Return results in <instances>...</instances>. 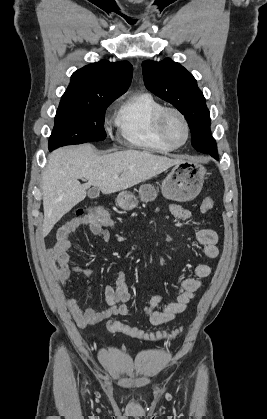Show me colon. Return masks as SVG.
<instances>
[{"label":"colon","mask_w":267,"mask_h":419,"mask_svg":"<svg viewBox=\"0 0 267 419\" xmlns=\"http://www.w3.org/2000/svg\"><path fill=\"white\" fill-rule=\"evenodd\" d=\"M214 201L211 198H205L201 205V210L203 212H208L212 209ZM79 216L90 215L95 217L104 227H111L114 224V221L109 214V212L102 207H92L86 210H80L78 212ZM109 331L113 333H121L134 338L143 339V340H173L178 337L182 329H176L172 332H163L157 334H148L142 330L132 327L126 324H123L119 321H110L107 324Z\"/></svg>","instance_id":"1"}]
</instances>
